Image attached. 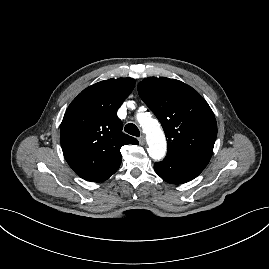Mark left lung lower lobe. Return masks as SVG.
Segmentation results:
<instances>
[{
    "label": "left lung lower lobe",
    "mask_w": 269,
    "mask_h": 269,
    "mask_svg": "<svg viewBox=\"0 0 269 269\" xmlns=\"http://www.w3.org/2000/svg\"><path fill=\"white\" fill-rule=\"evenodd\" d=\"M209 160L179 153H167L163 161L154 164V170L166 182L181 184L197 177Z\"/></svg>",
    "instance_id": "obj_1"
}]
</instances>
